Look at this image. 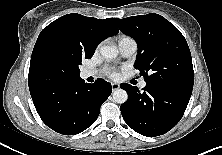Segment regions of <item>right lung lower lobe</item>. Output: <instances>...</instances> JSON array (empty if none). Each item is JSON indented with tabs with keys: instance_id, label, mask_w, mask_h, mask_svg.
<instances>
[{
	"instance_id": "98d812e1",
	"label": "right lung lower lobe",
	"mask_w": 222,
	"mask_h": 155,
	"mask_svg": "<svg viewBox=\"0 0 222 155\" xmlns=\"http://www.w3.org/2000/svg\"><path fill=\"white\" fill-rule=\"evenodd\" d=\"M111 91V84L101 78L89 84L78 76L59 78L50 90L31 97L48 127L60 134L75 135L96 121Z\"/></svg>"
}]
</instances>
